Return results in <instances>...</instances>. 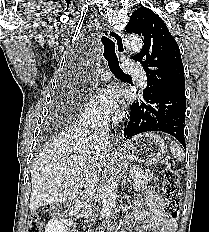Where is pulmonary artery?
I'll return each instance as SVG.
<instances>
[{"instance_id": "1", "label": "pulmonary artery", "mask_w": 209, "mask_h": 232, "mask_svg": "<svg viewBox=\"0 0 209 232\" xmlns=\"http://www.w3.org/2000/svg\"><path fill=\"white\" fill-rule=\"evenodd\" d=\"M123 70L127 74L137 77L142 86L147 85V77L145 72L135 63L130 61H125L123 63ZM99 78L103 81H107L109 79V74L107 72H101Z\"/></svg>"}]
</instances>
